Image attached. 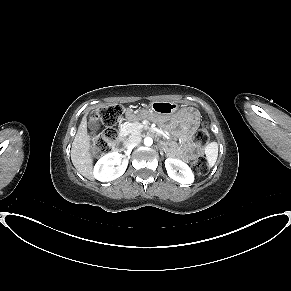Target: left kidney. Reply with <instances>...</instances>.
<instances>
[{
  "label": "left kidney",
  "mask_w": 291,
  "mask_h": 291,
  "mask_svg": "<svg viewBox=\"0 0 291 291\" xmlns=\"http://www.w3.org/2000/svg\"><path fill=\"white\" fill-rule=\"evenodd\" d=\"M165 167L171 179L181 184H191L194 182V174L185 162L174 158H167L165 160Z\"/></svg>",
  "instance_id": "5707ae66"
}]
</instances>
